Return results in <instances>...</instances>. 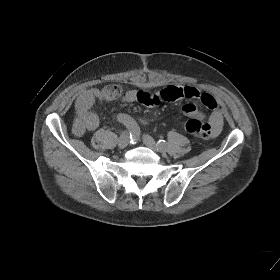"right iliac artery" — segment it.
<instances>
[{
  "label": "right iliac artery",
  "instance_id": "right-iliac-artery-1",
  "mask_svg": "<svg viewBox=\"0 0 280 280\" xmlns=\"http://www.w3.org/2000/svg\"><path fill=\"white\" fill-rule=\"evenodd\" d=\"M119 122H122L128 128V135H130V142L135 144L140 138V128L137 123L128 115L119 114L117 116Z\"/></svg>",
  "mask_w": 280,
  "mask_h": 280
}]
</instances>
